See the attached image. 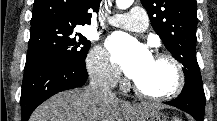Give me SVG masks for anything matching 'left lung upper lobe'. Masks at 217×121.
<instances>
[{"instance_id":"left-lung-upper-lobe-1","label":"left lung upper lobe","mask_w":217,"mask_h":121,"mask_svg":"<svg viewBox=\"0 0 217 121\" xmlns=\"http://www.w3.org/2000/svg\"><path fill=\"white\" fill-rule=\"evenodd\" d=\"M152 27L183 65L185 81L203 86L196 59V0H141Z\"/></svg>"}]
</instances>
